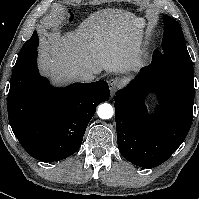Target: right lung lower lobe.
<instances>
[{
  "label": "right lung lower lobe",
  "mask_w": 199,
  "mask_h": 199,
  "mask_svg": "<svg viewBox=\"0 0 199 199\" xmlns=\"http://www.w3.org/2000/svg\"><path fill=\"white\" fill-rule=\"evenodd\" d=\"M37 51L13 69L7 100L11 128L33 158L65 159L81 146L99 103L109 99L105 81L54 88L37 69Z\"/></svg>",
  "instance_id": "1"
}]
</instances>
